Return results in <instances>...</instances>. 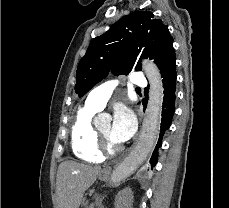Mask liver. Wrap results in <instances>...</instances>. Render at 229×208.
<instances>
[{
  "instance_id": "1",
  "label": "liver",
  "mask_w": 229,
  "mask_h": 208,
  "mask_svg": "<svg viewBox=\"0 0 229 208\" xmlns=\"http://www.w3.org/2000/svg\"><path fill=\"white\" fill-rule=\"evenodd\" d=\"M100 166H85L77 162H62L58 168L56 194L59 208H79L84 192L101 174Z\"/></svg>"
}]
</instances>
